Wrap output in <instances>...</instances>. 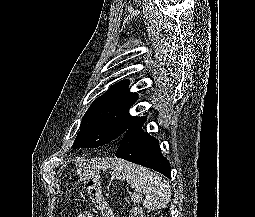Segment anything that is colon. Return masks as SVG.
I'll return each mask as SVG.
<instances>
[{
  "label": "colon",
  "instance_id": "obj_1",
  "mask_svg": "<svg viewBox=\"0 0 255 217\" xmlns=\"http://www.w3.org/2000/svg\"><path fill=\"white\" fill-rule=\"evenodd\" d=\"M87 185H88V192L93 203L96 205V207L100 211L106 213L107 212V210L105 209L106 202L101 193L99 185L93 181H89ZM129 217H143L142 210L139 207H134L129 212Z\"/></svg>",
  "mask_w": 255,
  "mask_h": 217
}]
</instances>
